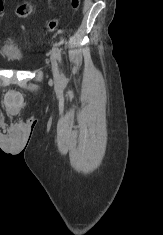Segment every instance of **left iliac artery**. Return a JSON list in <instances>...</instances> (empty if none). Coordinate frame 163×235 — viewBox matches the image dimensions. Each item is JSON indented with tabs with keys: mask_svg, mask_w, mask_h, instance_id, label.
Wrapping results in <instances>:
<instances>
[{
	"mask_svg": "<svg viewBox=\"0 0 163 235\" xmlns=\"http://www.w3.org/2000/svg\"><path fill=\"white\" fill-rule=\"evenodd\" d=\"M53 51H54L55 56L58 59L60 65L62 66L61 50H60V48L58 47L57 44L53 45ZM61 77H62V82H66V78H65V75H64L63 71H62Z\"/></svg>",
	"mask_w": 163,
	"mask_h": 235,
	"instance_id": "obj_1",
	"label": "left iliac artery"
}]
</instances>
